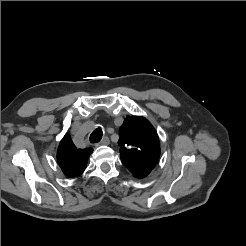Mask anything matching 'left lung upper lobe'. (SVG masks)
<instances>
[{"mask_svg": "<svg viewBox=\"0 0 246 246\" xmlns=\"http://www.w3.org/2000/svg\"><path fill=\"white\" fill-rule=\"evenodd\" d=\"M118 144L122 163L136 178L146 177L160 156L157 132L144 117L131 116L124 120Z\"/></svg>", "mask_w": 246, "mask_h": 246, "instance_id": "left-lung-upper-lobe-1", "label": "left lung upper lobe"}]
</instances>
